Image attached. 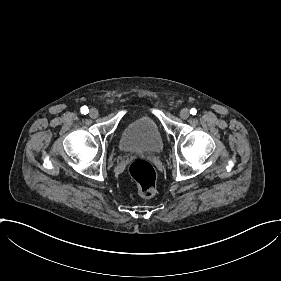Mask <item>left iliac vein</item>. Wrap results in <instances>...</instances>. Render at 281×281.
I'll return each instance as SVG.
<instances>
[{
  "label": "left iliac vein",
  "mask_w": 281,
  "mask_h": 281,
  "mask_svg": "<svg viewBox=\"0 0 281 281\" xmlns=\"http://www.w3.org/2000/svg\"><path fill=\"white\" fill-rule=\"evenodd\" d=\"M190 112H189V110L187 109V108H182L181 110H180V115H181V117L183 118V119H186V118H188L189 117V114Z\"/></svg>",
  "instance_id": "left-iliac-vein-1"
}]
</instances>
